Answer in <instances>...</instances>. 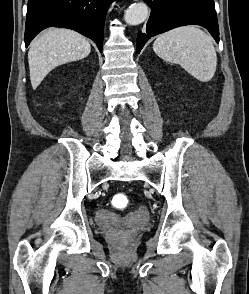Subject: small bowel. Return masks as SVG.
<instances>
[{"label":"small bowel","instance_id":"c3829d8e","mask_svg":"<svg viewBox=\"0 0 249 294\" xmlns=\"http://www.w3.org/2000/svg\"><path fill=\"white\" fill-rule=\"evenodd\" d=\"M137 217L140 219V220H144L146 218V214H145V211L144 210H141L139 212V214L137 215Z\"/></svg>","mask_w":249,"mask_h":294}]
</instances>
